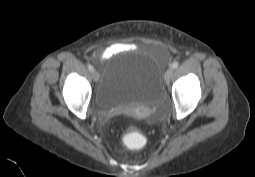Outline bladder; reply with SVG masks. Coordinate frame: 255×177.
Masks as SVG:
<instances>
[{"instance_id":"obj_1","label":"bladder","mask_w":255,"mask_h":177,"mask_svg":"<svg viewBox=\"0 0 255 177\" xmlns=\"http://www.w3.org/2000/svg\"><path fill=\"white\" fill-rule=\"evenodd\" d=\"M163 95L160 62L153 55L128 53L110 64L95 103L102 110L155 108Z\"/></svg>"}]
</instances>
